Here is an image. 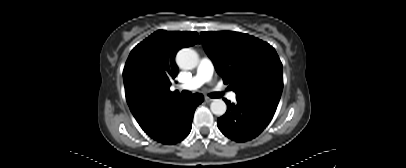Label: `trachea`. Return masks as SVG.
<instances>
[{
	"label": "trachea",
	"mask_w": 406,
	"mask_h": 168,
	"mask_svg": "<svg viewBox=\"0 0 406 168\" xmlns=\"http://www.w3.org/2000/svg\"><path fill=\"white\" fill-rule=\"evenodd\" d=\"M182 94L186 96V95H189L190 93L188 91H183ZM222 95L223 94L220 93V92H215V93L210 94V97H212V98H220V97H222Z\"/></svg>",
	"instance_id": "trachea-1"
}]
</instances>
